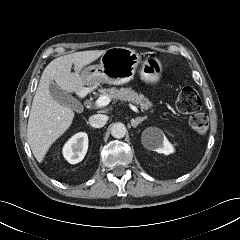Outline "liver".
I'll use <instances>...</instances> for the list:
<instances>
[{
	"instance_id": "liver-1",
	"label": "liver",
	"mask_w": 240,
	"mask_h": 240,
	"mask_svg": "<svg viewBox=\"0 0 240 240\" xmlns=\"http://www.w3.org/2000/svg\"><path fill=\"white\" fill-rule=\"evenodd\" d=\"M105 50L81 51L58 57L44 69L33 98L27 126L28 143L36 160L41 163L51 145L71 126L74 112L58 103L49 92L55 81L66 92L85 90L83 69L98 59ZM74 64V73H71Z\"/></svg>"
}]
</instances>
